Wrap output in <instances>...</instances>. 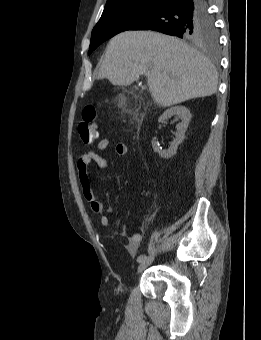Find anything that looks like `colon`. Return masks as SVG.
<instances>
[{"mask_svg": "<svg viewBox=\"0 0 261 340\" xmlns=\"http://www.w3.org/2000/svg\"><path fill=\"white\" fill-rule=\"evenodd\" d=\"M99 112L97 105H88L82 112L78 132L83 143L89 144L98 137Z\"/></svg>", "mask_w": 261, "mask_h": 340, "instance_id": "colon-1", "label": "colon"}]
</instances>
